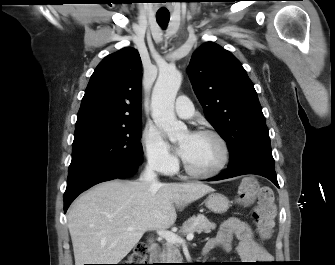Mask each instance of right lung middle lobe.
Masks as SVG:
<instances>
[{"instance_id": "right-lung-middle-lobe-1", "label": "right lung middle lobe", "mask_w": 335, "mask_h": 265, "mask_svg": "<svg viewBox=\"0 0 335 265\" xmlns=\"http://www.w3.org/2000/svg\"><path fill=\"white\" fill-rule=\"evenodd\" d=\"M142 120L75 129L68 175L95 165L135 167L142 163Z\"/></svg>"}]
</instances>
